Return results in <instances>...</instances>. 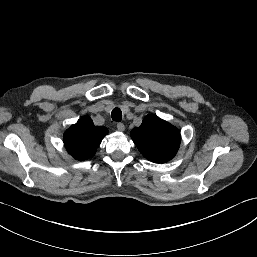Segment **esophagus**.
Wrapping results in <instances>:
<instances>
[{
	"label": "esophagus",
	"mask_w": 257,
	"mask_h": 257,
	"mask_svg": "<svg viewBox=\"0 0 257 257\" xmlns=\"http://www.w3.org/2000/svg\"><path fill=\"white\" fill-rule=\"evenodd\" d=\"M118 131L123 132L125 130V125L123 123H117Z\"/></svg>",
	"instance_id": "esophagus-1"
}]
</instances>
